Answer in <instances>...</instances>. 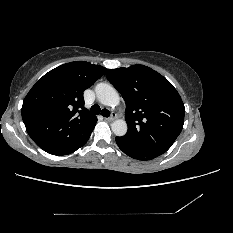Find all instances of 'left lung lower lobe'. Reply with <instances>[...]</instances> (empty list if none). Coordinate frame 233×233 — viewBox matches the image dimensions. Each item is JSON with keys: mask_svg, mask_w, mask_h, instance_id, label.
I'll return each instance as SVG.
<instances>
[{"mask_svg": "<svg viewBox=\"0 0 233 233\" xmlns=\"http://www.w3.org/2000/svg\"><path fill=\"white\" fill-rule=\"evenodd\" d=\"M115 140H116L118 147L121 149V151H123L126 155L134 159H138L142 161L152 160L161 155L156 152L141 149L133 145L131 142H129L123 137H116Z\"/></svg>", "mask_w": 233, "mask_h": 233, "instance_id": "1", "label": "left lung lower lobe"}]
</instances>
